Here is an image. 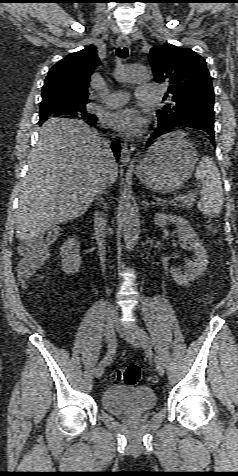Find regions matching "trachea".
<instances>
[{
    "label": "trachea",
    "instance_id": "trachea-1",
    "mask_svg": "<svg viewBox=\"0 0 238 476\" xmlns=\"http://www.w3.org/2000/svg\"><path fill=\"white\" fill-rule=\"evenodd\" d=\"M116 53L118 57L125 59L128 56V49L126 47H124L123 49L118 48L116 50Z\"/></svg>",
    "mask_w": 238,
    "mask_h": 476
}]
</instances>
